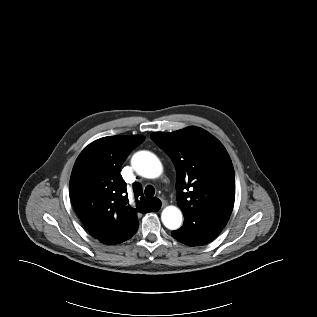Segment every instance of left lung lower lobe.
Here are the masks:
<instances>
[{
    "instance_id": "1",
    "label": "left lung lower lobe",
    "mask_w": 317,
    "mask_h": 317,
    "mask_svg": "<svg viewBox=\"0 0 317 317\" xmlns=\"http://www.w3.org/2000/svg\"><path fill=\"white\" fill-rule=\"evenodd\" d=\"M229 217L215 213H196L185 217L183 226L172 236L188 246H201L214 240L225 227Z\"/></svg>"
}]
</instances>
